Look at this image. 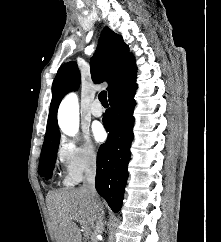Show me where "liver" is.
I'll return each instance as SVG.
<instances>
[{
  "label": "liver",
  "instance_id": "obj_1",
  "mask_svg": "<svg viewBox=\"0 0 221 242\" xmlns=\"http://www.w3.org/2000/svg\"><path fill=\"white\" fill-rule=\"evenodd\" d=\"M47 207L56 242H82L75 222L89 232L95 228L97 208L82 188L48 193Z\"/></svg>",
  "mask_w": 221,
  "mask_h": 242
}]
</instances>
